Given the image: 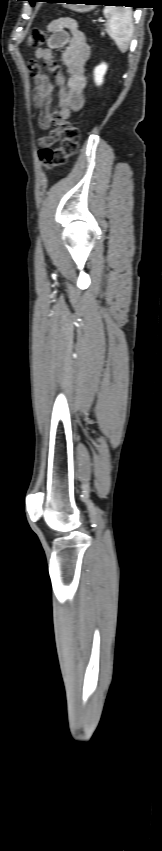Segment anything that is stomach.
Returning <instances> with one entry per match:
<instances>
[{
	"label": "stomach",
	"mask_w": 162,
	"mask_h": 851,
	"mask_svg": "<svg viewBox=\"0 0 162 851\" xmlns=\"http://www.w3.org/2000/svg\"><path fill=\"white\" fill-rule=\"evenodd\" d=\"M63 2H66L64 5L68 8H70V9H72V10H75V11H78V12H85V11H89V10L93 9L95 6L94 5H88V4H93L94 2H97V0H66V1H63ZM81 3H85V4H81Z\"/></svg>",
	"instance_id": "stomach-1"
}]
</instances>
